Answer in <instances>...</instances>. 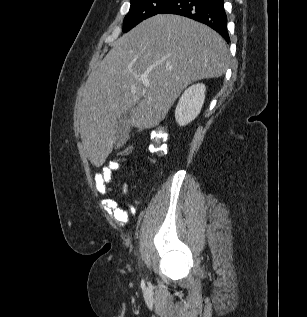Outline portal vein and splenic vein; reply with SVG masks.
<instances>
[{
  "label": "portal vein and splenic vein",
  "mask_w": 307,
  "mask_h": 317,
  "mask_svg": "<svg viewBox=\"0 0 307 317\" xmlns=\"http://www.w3.org/2000/svg\"><path fill=\"white\" fill-rule=\"evenodd\" d=\"M143 84H144L145 88H148L150 86V83L147 80L143 81Z\"/></svg>",
  "instance_id": "portal-vein-and-splenic-vein-1"
}]
</instances>
